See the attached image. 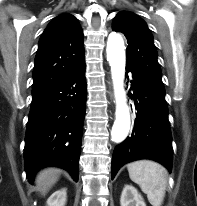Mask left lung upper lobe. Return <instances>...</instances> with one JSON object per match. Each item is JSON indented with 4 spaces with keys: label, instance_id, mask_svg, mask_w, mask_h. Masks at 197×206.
<instances>
[{
    "label": "left lung upper lobe",
    "instance_id": "left-lung-upper-lobe-1",
    "mask_svg": "<svg viewBox=\"0 0 197 206\" xmlns=\"http://www.w3.org/2000/svg\"><path fill=\"white\" fill-rule=\"evenodd\" d=\"M112 30L123 33L127 39L126 67L164 91L156 47L146 23L132 12L121 11L113 20Z\"/></svg>",
    "mask_w": 197,
    "mask_h": 206
}]
</instances>
